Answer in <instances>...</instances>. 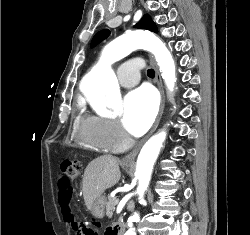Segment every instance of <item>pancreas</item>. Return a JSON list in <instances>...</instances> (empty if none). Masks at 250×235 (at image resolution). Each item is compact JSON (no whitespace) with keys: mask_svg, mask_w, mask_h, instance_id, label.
Returning a JSON list of instances; mask_svg holds the SVG:
<instances>
[{"mask_svg":"<svg viewBox=\"0 0 250 235\" xmlns=\"http://www.w3.org/2000/svg\"><path fill=\"white\" fill-rule=\"evenodd\" d=\"M117 198H108V201L106 203V215L111 218L113 216V212L115 210V206H116V201Z\"/></svg>","mask_w":250,"mask_h":235,"instance_id":"cf45deb5","label":"pancreas"}]
</instances>
